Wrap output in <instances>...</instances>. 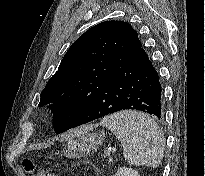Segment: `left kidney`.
Listing matches in <instances>:
<instances>
[{"mask_svg":"<svg viewBox=\"0 0 205 176\" xmlns=\"http://www.w3.org/2000/svg\"><path fill=\"white\" fill-rule=\"evenodd\" d=\"M114 176H140L135 169L121 167Z\"/></svg>","mask_w":205,"mask_h":176,"instance_id":"5707ae66","label":"left kidney"}]
</instances>
